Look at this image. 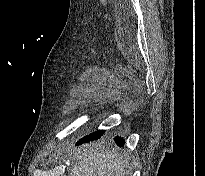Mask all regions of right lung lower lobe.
I'll use <instances>...</instances> for the list:
<instances>
[{
	"label": "right lung lower lobe",
	"mask_w": 205,
	"mask_h": 176,
	"mask_svg": "<svg viewBox=\"0 0 205 176\" xmlns=\"http://www.w3.org/2000/svg\"><path fill=\"white\" fill-rule=\"evenodd\" d=\"M87 141H81L79 140V142L77 144H82V143H85ZM115 142L117 143L118 146L122 147L124 145V140L120 137H116L115 138Z\"/></svg>",
	"instance_id": "98d812e1"
}]
</instances>
